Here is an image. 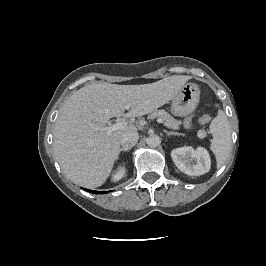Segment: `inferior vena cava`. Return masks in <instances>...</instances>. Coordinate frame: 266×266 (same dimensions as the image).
<instances>
[{
	"mask_svg": "<svg viewBox=\"0 0 266 266\" xmlns=\"http://www.w3.org/2000/svg\"><path fill=\"white\" fill-rule=\"evenodd\" d=\"M139 135L137 132L124 133L120 139V144L123 148L131 149L138 142Z\"/></svg>",
	"mask_w": 266,
	"mask_h": 266,
	"instance_id": "1",
	"label": "inferior vena cava"
}]
</instances>
